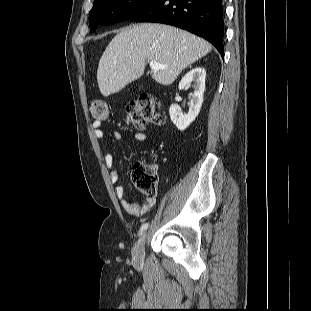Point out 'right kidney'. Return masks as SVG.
<instances>
[{
    "label": "right kidney",
    "mask_w": 311,
    "mask_h": 311,
    "mask_svg": "<svg viewBox=\"0 0 311 311\" xmlns=\"http://www.w3.org/2000/svg\"><path fill=\"white\" fill-rule=\"evenodd\" d=\"M206 71L202 67H196L189 71L180 81L179 89H184L193 83V94L190 101L188 114H183L177 105H171L169 109L171 121L180 130L184 131L198 116L205 90Z\"/></svg>",
    "instance_id": "ca27d5eb"
}]
</instances>
